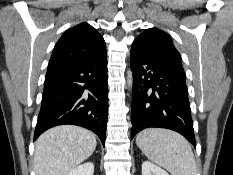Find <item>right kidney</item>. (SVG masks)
Instances as JSON below:
<instances>
[{"mask_svg":"<svg viewBox=\"0 0 233 175\" xmlns=\"http://www.w3.org/2000/svg\"><path fill=\"white\" fill-rule=\"evenodd\" d=\"M94 164L92 162H86L74 168L67 175H93Z\"/></svg>","mask_w":233,"mask_h":175,"instance_id":"right-kidney-1","label":"right kidney"}]
</instances>
